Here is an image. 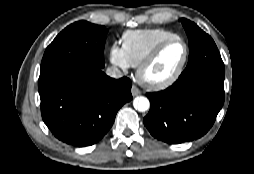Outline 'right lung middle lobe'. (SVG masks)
<instances>
[{
    "label": "right lung middle lobe",
    "mask_w": 254,
    "mask_h": 174,
    "mask_svg": "<svg viewBox=\"0 0 254 174\" xmlns=\"http://www.w3.org/2000/svg\"><path fill=\"white\" fill-rule=\"evenodd\" d=\"M108 30L104 26L78 21L61 31L47 47L38 84L73 69H101Z\"/></svg>",
    "instance_id": "dd1d6c3e"
}]
</instances>
